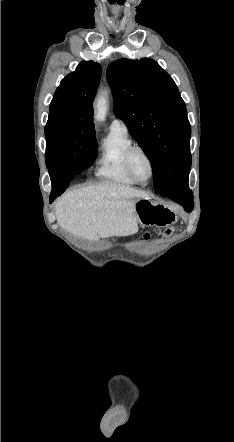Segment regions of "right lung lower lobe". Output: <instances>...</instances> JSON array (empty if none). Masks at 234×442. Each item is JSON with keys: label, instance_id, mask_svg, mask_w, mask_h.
Listing matches in <instances>:
<instances>
[{"label": "right lung lower lobe", "instance_id": "right-lung-lower-lobe-1", "mask_svg": "<svg viewBox=\"0 0 234 442\" xmlns=\"http://www.w3.org/2000/svg\"><path fill=\"white\" fill-rule=\"evenodd\" d=\"M48 170L52 182V192L50 194V203H52L57 196L65 191L76 173L70 162L58 164Z\"/></svg>", "mask_w": 234, "mask_h": 442}]
</instances>
